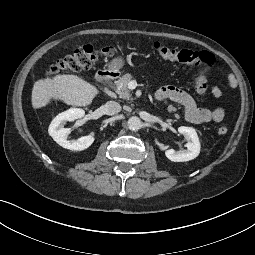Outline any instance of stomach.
Wrapping results in <instances>:
<instances>
[{"mask_svg": "<svg viewBox=\"0 0 255 255\" xmlns=\"http://www.w3.org/2000/svg\"><path fill=\"white\" fill-rule=\"evenodd\" d=\"M124 65V60L121 56L115 57L109 64V69L113 72H118Z\"/></svg>", "mask_w": 255, "mask_h": 255, "instance_id": "stomach-1", "label": "stomach"}]
</instances>
